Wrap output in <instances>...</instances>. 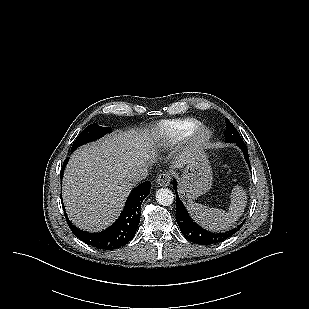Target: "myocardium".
<instances>
[{
  "label": "myocardium",
  "instance_id": "1",
  "mask_svg": "<svg viewBox=\"0 0 309 309\" xmlns=\"http://www.w3.org/2000/svg\"><path fill=\"white\" fill-rule=\"evenodd\" d=\"M212 138V131L203 125H200L192 134V144L195 147H202L209 143Z\"/></svg>",
  "mask_w": 309,
  "mask_h": 309
}]
</instances>
